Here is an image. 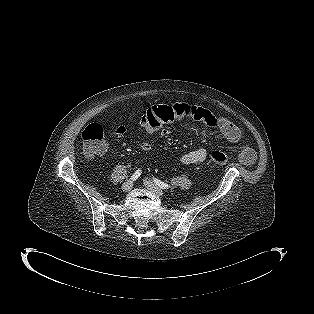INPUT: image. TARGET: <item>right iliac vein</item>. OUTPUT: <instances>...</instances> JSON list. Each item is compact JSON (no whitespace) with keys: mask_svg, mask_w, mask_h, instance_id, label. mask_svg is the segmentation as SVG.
<instances>
[{"mask_svg":"<svg viewBox=\"0 0 314 314\" xmlns=\"http://www.w3.org/2000/svg\"><path fill=\"white\" fill-rule=\"evenodd\" d=\"M132 186H133V182L132 181H127V182L123 183L121 189L124 192H128L129 190H131Z\"/></svg>","mask_w":314,"mask_h":314,"instance_id":"obj_1","label":"right iliac vein"}]
</instances>
